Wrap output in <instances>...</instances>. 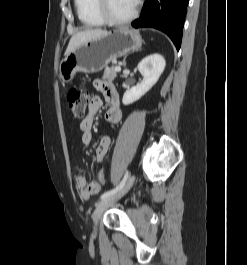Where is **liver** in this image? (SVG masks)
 <instances>
[{
	"label": "liver",
	"mask_w": 247,
	"mask_h": 265,
	"mask_svg": "<svg viewBox=\"0 0 247 265\" xmlns=\"http://www.w3.org/2000/svg\"><path fill=\"white\" fill-rule=\"evenodd\" d=\"M106 31L102 29H95V30H87V31H81L77 34L73 35L72 38L69 41L68 47L65 51V56L68 55L71 51H73L76 47H78L80 44L90 41L92 39H95L102 34H104Z\"/></svg>",
	"instance_id": "6515ba94"
}]
</instances>
